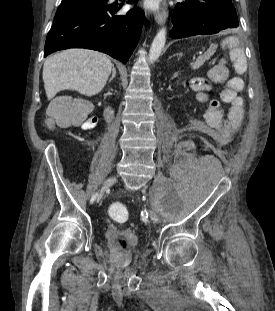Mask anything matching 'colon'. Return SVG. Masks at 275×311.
Listing matches in <instances>:
<instances>
[{
	"label": "colon",
	"mask_w": 275,
	"mask_h": 311,
	"mask_svg": "<svg viewBox=\"0 0 275 311\" xmlns=\"http://www.w3.org/2000/svg\"><path fill=\"white\" fill-rule=\"evenodd\" d=\"M234 65L238 72L245 70L244 57H235ZM226 73V72H225ZM243 88V80L239 77L231 78L225 88L221 92V100L225 103H231L236 97L237 93ZM48 124L51 121H55L61 126H68L71 124H78L82 119L73 114L70 102L61 101L53 103L47 112ZM109 213L115 219H126L128 217L127 209L119 203H112L109 206ZM119 246L125 250L127 243L125 240L120 239L118 241Z\"/></svg>",
	"instance_id": "obj_1"
}]
</instances>
